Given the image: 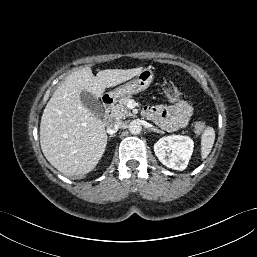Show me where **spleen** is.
<instances>
[{
  "label": "spleen",
  "mask_w": 257,
  "mask_h": 257,
  "mask_svg": "<svg viewBox=\"0 0 257 257\" xmlns=\"http://www.w3.org/2000/svg\"><path fill=\"white\" fill-rule=\"evenodd\" d=\"M215 141V131L212 127L205 128L201 135V158L205 159L210 154Z\"/></svg>",
  "instance_id": "3e777b00"
}]
</instances>
